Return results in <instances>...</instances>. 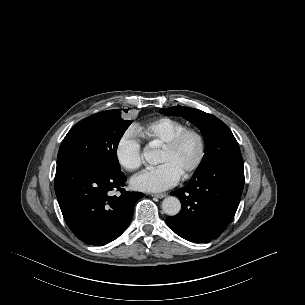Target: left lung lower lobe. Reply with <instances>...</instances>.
Segmentation results:
<instances>
[{
  "label": "left lung lower lobe",
  "mask_w": 305,
  "mask_h": 305,
  "mask_svg": "<svg viewBox=\"0 0 305 305\" xmlns=\"http://www.w3.org/2000/svg\"><path fill=\"white\" fill-rule=\"evenodd\" d=\"M244 187L241 155L232 156L194 173L184 188L173 191L181 211L168 217V226L180 237L206 243L216 239L229 225Z\"/></svg>",
  "instance_id": "0a47b994"
}]
</instances>
